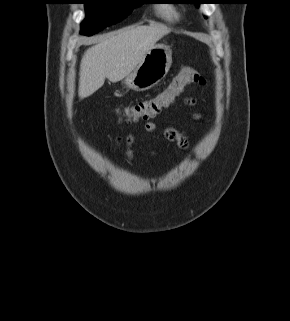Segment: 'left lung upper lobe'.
I'll return each mask as SVG.
<instances>
[{
    "label": "left lung upper lobe",
    "mask_w": 290,
    "mask_h": 321,
    "mask_svg": "<svg viewBox=\"0 0 290 321\" xmlns=\"http://www.w3.org/2000/svg\"><path fill=\"white\" fill-rule=\"evenodd\" d=\"M201 2H203V0H195L193 1V3L198 6ZM191 3V2H190Z\"/></svg>",
    "instance_id": "5c2ea615"
}]
</instances>
